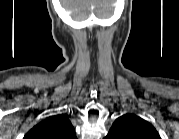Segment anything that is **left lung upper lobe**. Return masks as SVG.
<instances>
[{"mask_svg": "<svg viewBox=\"0 0 179 139\" xmlns=\"http://www.w3.org/2000/svg\"><path fill=\"white\" fill-rule=\"evenodd\" d=\"M107 139H160L156 129L144 119L126 114L115 120Z\"/></svg>", "mask_w": 179, "mask_h": 139, "instance_id": "5c2ea615", "label": "left lung upper lobe"}]
</instances>
